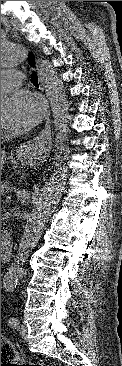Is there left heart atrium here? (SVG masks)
<instances>
[{"instance_id":"obj_1","label":"left heart atrium","mask_w":122,"mask_h":366,"mask_svg":"<svg viewBox=\"0 0 122 366\" xmlns=\"http://www.w3.org/2000/svg\"><path fill=\"white\" fill-rule=\"evenodd\" d=\"M44 114V104L41 99L30 92L15 93L10 99L4 125L11 132H22L35 127Z\"/></svg>"}]
</instances>
